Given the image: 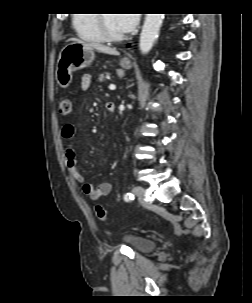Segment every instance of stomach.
<instances>
[{
  "label": "stomach",
  "instance_id": "1",
  "mask_svg": "<svg viewBox=\"0 0 252 303\" xmlns=\"http://www.w3.org/2000/svg\"><path fill=\"white\" fill-rule=\"evenodd\" d=\"M94 58L93 48L86 44L78 42L67 44L61 50L57 61L55 76L58 85L64 89L69 87L72 82L73 71L89 66ZM120 65L127 70L132 67L130 59L126 57L120 61Z\"/></svg>",
  "mask_w": 252,
  "mask_h": 303
}]
</instances>
